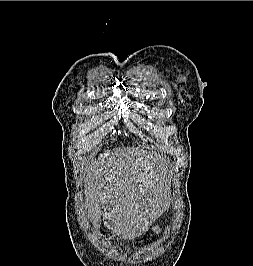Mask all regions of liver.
Wrapping results in <instances>:
<instances>
[{"label":"liver","instance_id":"liver-1","mask_svg":"<svg viewBox=\"0 0 253 266\" xmlns=\"http://www.w3.org/2000/svg\"><path fill=\"white\" fill-rule=\"evenodd\" d=\"M166 160L134 147L106 151L92 161L85 184V209L93 229L104 225L123 239L141 236L150 226L158 196L156 181Z\"/></svg>","mask_w":253,"mask_h":266}]
</instances>
